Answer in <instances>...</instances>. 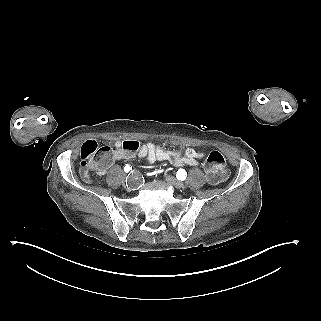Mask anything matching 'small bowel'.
I'll return each mask as SVG.
<instances>
[{
	"mask_svg": "<svg viewBox=\"0 0 321 321\" xmlns=\"http://www.w3.org/2000/svg\"><path fill=\"white\" fill-rule=\"evenodd\" d=\"M97 142L93 139L87 140L83 143L81 148V154L85 151H97ZM98 151L104 154L107 159L102 162L96 169V175L103 176L107 170L118 160L131 157L130 154L122 149V143L117 140L109 141L108 146L101 147ZM204 153L196 151L192 148L185 149L184 151H168L163 149L160 145L154 143H148L143 145L137 152L139 159H144L146 163L150 164L155 161H167L176 166H195L199 164V160L204 157ZM89 180L90 178H84Z\"/></svg>",
	"mask_w": 321,
	"mask_h": 321,
	"instance_id": "1",
	"label": "small bowel"
}]
</instances>
